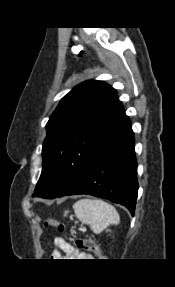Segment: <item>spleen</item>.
Segmentation results:
<instances>
[{
  "mask_svg": "<svg viewBox=\"0 0 175 287\" xmlns=\"http://www.w3.org/2000/svg\"><path fill=\"white\" fill-rule=\"evenodd\" d=\"M76 217L90 226L95 234H100L110 224L120 222L119 214L114 206L101 199H80L74 203Z\"/></svg>",
  "mask_w": 175,
  "mask_h": 287,
  "instance_id": "1",
  "label": "spleen"
}]
</instances>
